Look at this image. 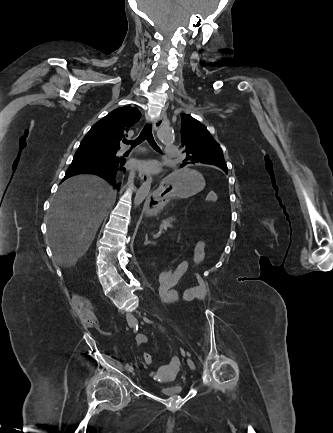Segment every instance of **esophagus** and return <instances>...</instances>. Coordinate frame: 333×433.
Masks as SVG:
<instances>
[{
    "mask_svg": "<svg viewBox=\"0 0 333 433\" xmlns=\"http://www.w3.org/2000/svg\"><path fill=\"white\" fill-rule=\"evenodd\" d=\"M165 118H166V114L165 113H162L160 116H158L156 119H155V122H154V125H153V132H158L159 131V129L162 127V125H163V121L165 120ZM139 177H140V180L142 181V182H148L149 181V179H150V174L149 173H147L146 171H140L139 172Z\"/></svg>",
    "mask_w": 333,
    "mask_h": 433,
    "instance_id": "34e87169",
    "label": "esophagus"
}]
</instances>
